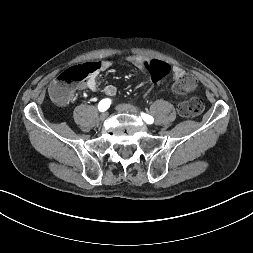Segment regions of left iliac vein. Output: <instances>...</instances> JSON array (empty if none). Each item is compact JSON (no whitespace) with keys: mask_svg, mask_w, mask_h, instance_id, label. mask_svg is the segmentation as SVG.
Returning <instances> with one entry per match:
<instances>
[{"mask_svg":"<svg viewBox=\"0 0 253 253\" xmlns=\"http://www.w3.org/2000/svg\"><path fill=\"white\" fill-rule=\"evenodd\" d=\"M116 110L123 113L138 114V110L129 104H120L116 106Z\"/></svg>","mask_w":253,"mask_h":253,"instance_id":"left-iliac-vein-1","label":"left iliac vein"}]
</instances>
